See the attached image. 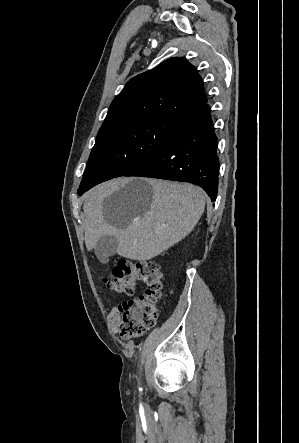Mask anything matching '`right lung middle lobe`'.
I'll use <instances>...</instances> for the list:
<instances>
[{
	"mask_svg": "<svg viewBox=\"0 0 299 443\" xmlns=\"http://www.w3.org/2000/svg\"><path fill=\"white\" fill-rule=\"evenodd\" d=\"M179 125L180 120L145 118L97 135L78 194L145 162L172 138Z\"/></svg>",
	"mask_w": 299,
	"mask_h": 443,
	"instance_id": "obj_1",
	"label": "right lung middle lobe"
}]
</instances>
